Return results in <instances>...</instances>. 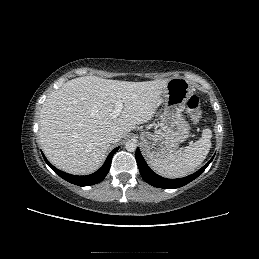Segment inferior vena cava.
I'll return each instance as SVG.
<instances>
[{
    "instance_id": "obj_1",
    "label": "inferior vena cava",
    "mask_w": 259,
    "mask_h": 259,
    "mask_svg": "<svg viewBox=\"0 0 259 259\" xmlns=\"http://www.w3.org/2000/svg\"><path fill=\"white\" fill-rule=\"evenodd\" d=\"M122 134L119 131L112 130L107 133L106 139L109 143H116L120 141Z\"/></svg>"
}]
</instances>
